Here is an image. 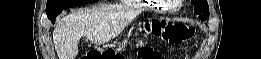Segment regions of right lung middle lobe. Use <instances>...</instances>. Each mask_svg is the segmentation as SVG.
Here are the masks:
<instances>
[{
  "mask_svg": "<svg viewBox=\"0 0 261 59\" xmlns=\"http://www.w3.org/2000/svg\"><path fill=\"white\" fill-rule=\"evenodd\" d=\"M97 0H47L46 14L48 17L61 13L66 8L94 3Z\"/></svg>",
  "mask_w": 261,
  "mask_h": 59,
  "instance_id": "dd1d6c3e",
  "label": "right lung middle lobe"
}]
</instances>
